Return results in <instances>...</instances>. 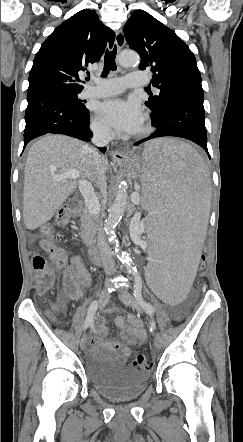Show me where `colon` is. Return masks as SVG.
Returning a JSON list of instances; mask_svg holds the SVG:
<instances>
[{"label":"colon","instance_id":"obj_1","mask_svg":"<svg viewBox=\"0 0 243 442\" xmlns=\"http://www.w3.org/2000/svg\"><path fill=\"white\" fill-rule=\"evenodd\" d=\"M70 211L69 207L62 209L58 214L56 223L59 226H66L69 223L70 219ZM121 223L124 225L125 229L130 230L133 227L132 218L130 216H123L121 218ZM41 240L40 245L41 248L50 254L52 262L56 267H64L67 264V256L63 249L56 245L55 237L52 231L48 228H43L40 232ZM210 260L209 255H202L198 265L196 272L199 275L204 274L205 268ZM32 266L36 277L37 282V290L39 294H42L49 290L54 281H55V272L54 269L48 265L46 259L35 253L32 258ZM50 315L53 318H58L60 316V310L56 306H52L50 308ZM133 365L142 370H150L152 368L151 357L146 356L141 352H136L134 354Z\"/></svg>","mask_w":243,"mask_h":442}]
</instances>
